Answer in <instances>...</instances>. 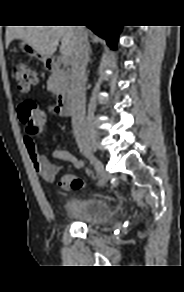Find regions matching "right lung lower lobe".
<instances>
[{"label":"right lung lower lobe","mask_w":184,"mask_h":292,"mask_svg":"<svg viewBox=\"0 0 184 292\" xmlns=\"http://www.w3.org/2000/svg\"><path fill=\"white\" fill-rule=\"evenodd\" d=\"M87 27H89L95 34L105 39L111 48L116 47L121 30L119 26L90 24Z\"/></svg>","instance_id":"right-lung-lower-lobe-1"}]
</instances>
